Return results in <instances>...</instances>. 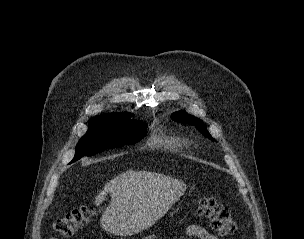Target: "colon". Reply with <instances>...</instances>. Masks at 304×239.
Instances as JSON below:
<instances>
[{
  "label": "colon",
  "mask_w": 304,
  "mask_h": 239,
  "mask_svg": "<svg viewBox=\"0 0 304 239\" xmlns=\"http://www.w3.org/2000/svg\"><path fill=\"white\" fill-rule=\"evenodd\" d=\"M197 213L207 217L212 229L220 236H231L236 233L237 226L226 206L213 197H201L197 201ZM93 215L88 206H80L58 218L54 231L64 237L73 235L86 225Z\"/></svg>",
  "instance_id": "1"
}]
</instances>
